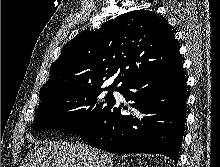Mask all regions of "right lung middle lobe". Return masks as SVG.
Here are the masks:
<instances>
[{
  "label": "right lung middle lobe",
  "mask_w": 220,
  "mask_h": 167,
  "mask_svg": "<svg viewBox=\"0 0 220 167\" xmlns=\"http://www.w3.org/2000/svg\"><path fill=\"white\" fill-rule=\"evenodd\" d=\"M108 90L104 98L101 87H84L66 90L42 101L36 110L33 128L81 134L94 126L112 106V89Z\"/></svg>",
  "instance_id": "1"
}]
</instances>
